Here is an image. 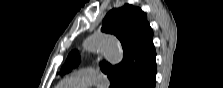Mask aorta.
<instances>
[{"mask_svg": "<svg viewBox=\"0 0 223 88\" xmlns=\"http://www.w3.org/2000/svg\"><path fill=\"white\" fill-rule=\"evenodd\" d=\"M84 49L88 52H102L105 59L112 65L120 63L123 59L119 41L115 37L103 33H96L88 37L84 42Z\"/></svg>", "mask_w": 223, "mask_h": 88, "instance_id": "762f6f07", "label": "aorta"}]
</instances>
